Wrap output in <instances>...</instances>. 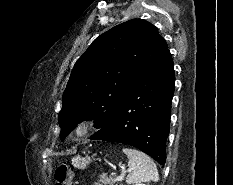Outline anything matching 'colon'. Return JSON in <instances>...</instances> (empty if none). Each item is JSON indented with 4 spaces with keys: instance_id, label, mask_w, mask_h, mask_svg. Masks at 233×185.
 <instances>
[{
    "instance_id": "obj_1",
    "label": "colon",
    "mask_w": 233,
    "mask_h": 185,
    "mask_svg": "<svg viewBox=\"0 0 233 185\" xmlns=\"http://www.w3.org/2000/svg\"><path fill=\"white\" fill-rule=\"evenodd\" d=\"M74 173L67 164H61L55 171V185H72Z\"/></svg>"
}]
</instances>
